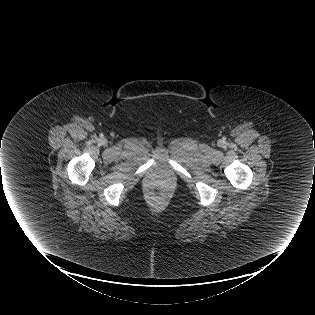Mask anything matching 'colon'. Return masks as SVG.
<instances>
[{
    "instance_id": "obj_1",
    "label": "colon",
    "mask_w": 315,
    "mask_h": 315,
    "mask_svg": "<svg viewBox=\"0 0 315 315\" xmlns=\"http://www.w3.org/2000/svg\"><path fill=\"white\" fill-rule=\"evenodd\" d=\"M150 194H151L152 199L156 201L163 200L166 196L165 190L159 186L152 188Z\"/></svg>"
}]
</instances>
